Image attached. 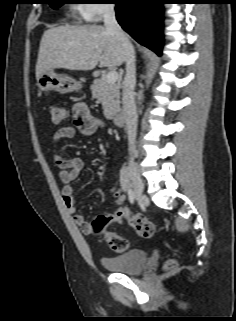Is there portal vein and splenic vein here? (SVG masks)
Masks as SVG:
<instances>
[{"instance_id":"portal-vein-and-splenic-vein-1","label":"portal vein and splenic vein","mask_w":236,"mask_h":321,"mask_svg":"<svg viewBox=\"0 0 236 321\" xmlns=\"http://www.w3.org/2000/svg\"><path fill=\"white\" fill-rule=\"evenodd\" d=\"M118 79V73L116 71H109L106 74V80L108 83H115Z\"/></svg>"}]
</instances>
